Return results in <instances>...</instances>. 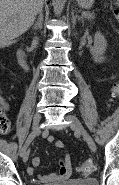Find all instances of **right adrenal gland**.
Returning <instances> with one entry per match:
<instances>
[{
  "instance_id": "right-adrenal-gland-1",
  "label": "right adrenal gland",
  "mask_w": 119,
  "mask_h": 185,
  "mask_svg": "<svg viewBox=\"0 0 119 185\" xmlns=\"http://www.w3.org/2000/svg\"><path fill=\"white\" fill-rule=\"evenodd\" d=\"M38 20L35 21V24L33 26V30L42 29V22H43V11L40 10L38 13Z\"/></svg>"
}]
</instances>
